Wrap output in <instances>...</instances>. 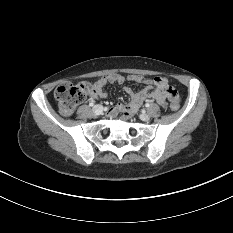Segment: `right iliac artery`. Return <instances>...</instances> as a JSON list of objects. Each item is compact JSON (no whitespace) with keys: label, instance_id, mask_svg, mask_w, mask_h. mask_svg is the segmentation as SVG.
<instances>
[{"label":"right iliac artery","instance_id":"right-iliac-artery-1","mask_svg":"<svg viewBox=\"0 0 233 233\" xmlns=\"http://www.w3.org/2000/svg\"><path fill=\"white\" fill-rule=\"evenodd\" d=\"M94 105V101H91L90 103H89V106H93Z\"/></svg>","mask_w":233,"mask_h":233}]
</instances>
